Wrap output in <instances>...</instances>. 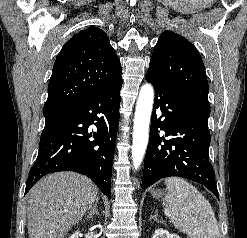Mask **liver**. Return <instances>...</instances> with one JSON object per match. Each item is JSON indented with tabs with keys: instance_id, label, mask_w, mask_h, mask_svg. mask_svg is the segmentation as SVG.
Here are the masks:
<instances>
[{
	"instance_id": "obj_1",
	"label": "liver",
	"mask_w": 247,
	"mask_h": 238,
	"mask_svg": "<svg viewBox=\"0 0 247 238\" xmlns=\"http://www.w3.org/2000/svg\"><path fill=\"white\" fill-rule=\"evenodd\" d=\"M95 184L74 172L50 174L36 183L28 199L29 238H65L98 199Z\"/></svg>"
}]
</instances>
